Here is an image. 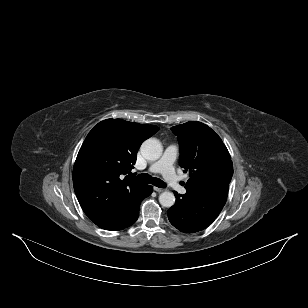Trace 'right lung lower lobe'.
Segmentation results:
<instances>
[{
  "instance_id": "right-lung-lower-lobe-1",
  "label": "right lung lower lobe",
  "mask_w": 308,
  "mask_h": 308,
  "mask_svg": "<svg viewBox=\"0 0 308 308\" xmlns=\"http://www.w3.org/2000/svg\"><path fill=\"white\" fill-rule=\"evenodd\" d=\"M151 193H152V187L149 185H145L143 190L140 192V195L135 199L130 212L121 221H119L116 224L103 225L99 227L105 230L117 231V230H122L126 227L131 226L138 218L139 206H140L141 201L144 198L148 197Z\"/></svg>"
}]
</instances>
